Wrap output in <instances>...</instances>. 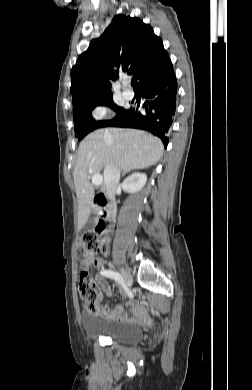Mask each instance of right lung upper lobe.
Returning a JSON list of instances; mask_svg holds the SVG:
<instances>
[{"label": "right lung upper lobe", "mask_w": 252, "mask_h": 390, "mask_svg": "<svg viewBox=\"0 0 252 390\" xmlns=\"http://www.w3.org/2000/svg\"><path fill=\"white\" fill-rule=\"evenodd\" d=\"M111 63L133 74L137 86L173 68L161 39L151 26L135 17L117 15L104 33L91 41L71 70L73 109L113 96L111 81L117 75Z\"/></svg>", "instance_id": "cb5924a9"}]
</instances>
